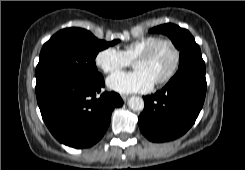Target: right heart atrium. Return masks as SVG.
<instances>
[{
    "label": "right heart atrium",
    "mask_w": 245,
    "mask_h": 170,
    "mask_svg": "<svg viewBox=\"0 0 245 170\" xmlns=\"http://www.w3.org/2000/svg\"><path fill=\"white\" fill-rule=\"evenodd\" d=\"M94 61L96 66L105 73H114L130 64V60L123 51L111 46L97 52Z\"/></svg>",
    "instance_id": "right-heart-atrium-1"
}]
</instances>
